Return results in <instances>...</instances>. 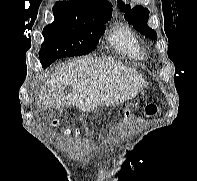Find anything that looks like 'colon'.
<instances>
[{"label": "colon", "instance_id": "colon-1", "mask_svg": "<svg viewBox=\"0 0 197 181\" xmlns=\"http://www.w3.org/2000/svg\"><path fill=\"white\" fill-rule=\"evenodd\" d=\"M157 112H158V107H157L156 104H154V103H149V104H147V105L145 106L144 113H145V115H146L147 117H152V116L156 115ZM74 133H75L76 135H79V134L82 133V132H80L79 130H76ZM66 134H67V135L71 134V131H67Z\"/></svg>", "mask_w": 197, "mask_h": 181}]
</instances>
